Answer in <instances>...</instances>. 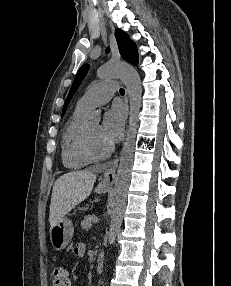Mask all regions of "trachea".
Instances as JSON below:
<instances>
[{
    "label": "trachea",
    "instance_id": "obj_1",
    "mask_svg": "<svg viewBox=\"0 0 231 286\" xmlns=\"http://www.w3.org/2000/svg\"><path fill=\"white\" fill-rule=\"evenodd\" d=\"M119 91H120V94H121V95H124V94H125V90H124L123 88H120Z\"/></svg>",
    "mask_w": 231,
    "mask_h": 286
}]
</instances>
